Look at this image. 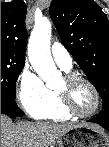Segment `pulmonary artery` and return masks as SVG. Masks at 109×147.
<instances>
[{
    "label": "pulmonary artery",
    "mask_w": 109,
    "mask_h": 147,
    "mask_svg": "<svg viewBox=\"0 0 109 147\" xmlns=\"http://www.w3.org/2000/svg\"><path fill=\"white\" fill-rule=\"evenodd\" d=\"M52 57L55 63L63 70L69 71L73 67L70 53L60 44L54 43L51 48Z\"/></svg>",
    "instance_id": "e3ab8cb5"
}]
</instances>
